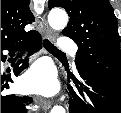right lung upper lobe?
Returning a JSON list of instances; mask_svg holds the SVG:
<instances>
[{
  "mask_svg": "<svg viewBox=\"0 0 121 113\" xmlns=\"http://www.w3.org/2000/svg\"><path fill=\"white\" fill-rule=\"evenodd\" d=\"M29 4L30 0H1V48L37 33L24 31V27L34 21Z\"/></svg>",
  "mask_w": 121,
  "mask_h": 113,
  "instance_id": "obj_1",
  "label": "right lung upper lobe"
}]
</instances>
